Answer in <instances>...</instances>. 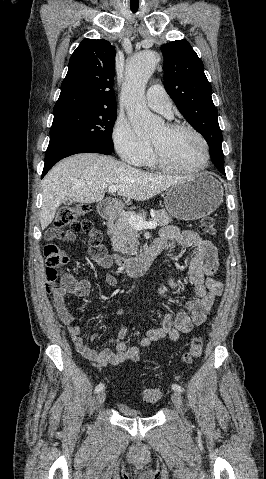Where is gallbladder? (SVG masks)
<instances>
[{"mask_svg":"<svg viewBox=\"0 0 266 479\" xmlns=\"http://www.w3.org/2000/svg\"><path fill=\"white\" fill-rule=\"evenodd\" d=\"M62 203L65 204V205H70V204L73 203V200L72 199H67V200L62 201Z\"/></svg>","mask_w":266,"mask_h":479,"instance_id":"1","label":"gallbladder"}]
</instances>
